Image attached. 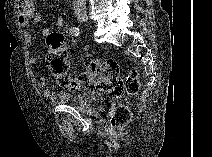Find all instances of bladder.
<instances>
[{
	"label": "bladder",
	"instance_id": "1",
	"mask_svg": "<svg viewBox=\"0 0 212 157\" xmlns=\"http://www.w3.org/2000/svg\"><path fill=\"white\" fill-rule=\"evenodd\" d=\"M106 104V94L97 90H84L71 95L69 105L87 114L101 112Z\"/></svg>",
	"mask_w": 212,
	"mask_h": 157
}]
</instances>
